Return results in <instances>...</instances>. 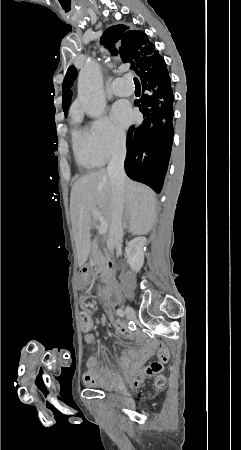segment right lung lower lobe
I'll list each match as a JSON object with an SVG mask.
<instances>
[{
  "instance_id": "1",
  "label": "right lung lower lobe",
  "mask_w": 241,
  "mask_h": 450,
  "mask_svg": "<svg viewBox=\"0 0 241 450\" xmlns=\"http://www.w3.org/2000/svg\"><path fill=\"white\" fill-rule=\"evenodd\" d=\"M143 94L135 106L145 116L143 123L127 133L126 174L160 193L173 141L174 96L167 65H145L137 72Z\"/></svg>"
}]
</instances>
